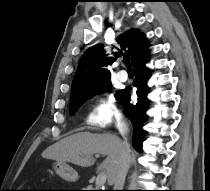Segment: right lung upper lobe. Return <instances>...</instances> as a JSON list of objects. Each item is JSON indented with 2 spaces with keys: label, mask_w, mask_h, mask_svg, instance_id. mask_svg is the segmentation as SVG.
I'll list each match as a JSON object with an SVG mask.
<instances>
[{
  "label": "right lung upper lobe",
  "mask_w": 210,
  "mask_h": 191,
  "mask_svg": "<svg viewBox=\"0 0 210 191\" xmlns=\"http://www.w3.org/2000/svg\"><path fill=\"white\" fill-rule=\"evenodd\" d=\"M116 40L118 42V47H116L118 53L115 54V57H119V53L124 57L129 56L132 65L140 52L146 47L145 35L137 29L122 33ZM114 61L115 58L107 57L102 44L87 49L79 61L71 86L70 100L109 82L111 78L110 67Z\"/></svg>",
  "instance_id": "cb5924a9"
}]
</instances>
